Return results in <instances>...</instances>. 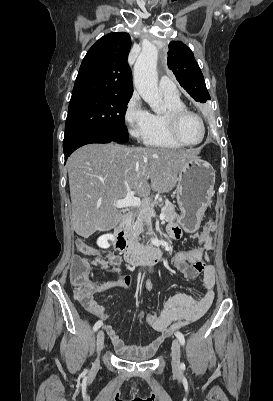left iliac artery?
Listing matches in <instances>:
<instances>
[{"label": "left iliac artery", "instance_id": "obj_1", "mask_svg": "<svg viewBox=\"0 0 273 401\" xmlns=\"http://www.w3.org/2000/svg\"><path fill=\"white\" fill-rule=\"evenodd\" d=\"M175 335H176L177 339L179 340V342L181 343V345H185L184 335L179 331H177L175 333ZM181 368H183V369L185 368V364L184 363L181 364Z\"/></svg>", "mask_w": 273, "mask_h": 401}]
</instances>
